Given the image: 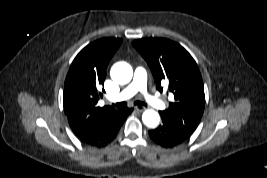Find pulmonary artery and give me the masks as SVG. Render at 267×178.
I'll return each instance as SVG.
<instances>
[{
  "label": "pulmonary artery",
  "instance_id": "1",
  "mask_svg": "<svg viewBox=\"0 0 267 178\" xmlns=\"http://www.w3.org/2000/svg\"><path fill=\"white\" fill-rule=\"evenodd\" d=\"M137 92H141L144 100L154 108L162 109L165 103L157 96L151 94L147 90V73L144 68L138 67L134 72L132 82L125 87L118 95L110 98L111 101H122L134 96Z\"/></svg>",
  "mask_w": 267,
  "mask_h": 178
}]
</instances>
